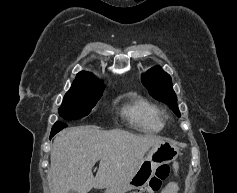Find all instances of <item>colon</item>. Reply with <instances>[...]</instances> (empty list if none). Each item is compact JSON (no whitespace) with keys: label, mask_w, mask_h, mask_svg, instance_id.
<instances>
[{"label":"colon","mask_w":237,"mask_h":193,"mask_svg":"<svg viewBox=\"0 0 237 193\" xmlns=\"http://www.w3.org/2000/svg\"><path fill=\"white\" fill-rule=\"evenodd\" d=\"M169 166L166 164L160 165L156 168L153 176L149 180V182L132 193H158L162 187L163 182L169 176Z\"/></svg>","instance_id":"colon-1"}]
</instances>
